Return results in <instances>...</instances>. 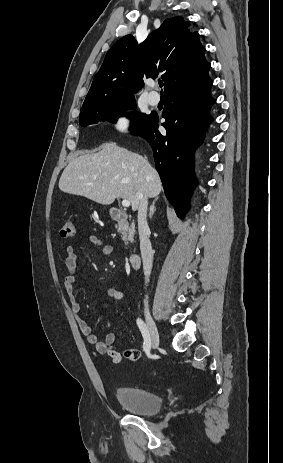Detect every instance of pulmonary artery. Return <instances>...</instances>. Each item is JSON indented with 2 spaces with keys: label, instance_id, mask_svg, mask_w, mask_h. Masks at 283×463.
<instances>
[{
  "label": "pulmonary artery",
  "instance_id": "e3ab8cb5",
  "mask_svg": "<svg viewBox=\"0 0 283 463\" xmlns=\"http://www.w3.org/2000/svg\"><path fill=\"white\" fill-rule=\"evenodd\" d=\"M151 87L155 88L156 85L153 84ZM147 101L151 106H156L160 102V96L155 91H151L147 96Z\"/></svg>",
  "mask_w": 283,
  "mask_h": 463
}]
</instances>
